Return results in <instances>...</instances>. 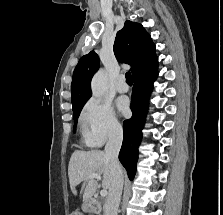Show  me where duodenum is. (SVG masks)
<instances>
[{"mask_svg": "<svg viewBox=\"0 0 223 215\" xmlns=\"http://www.w3.org/2000/svg\"><path fill=\"white\" fill-rule=\"evenodd\" d=\"M83 209L86 212L91 213L93 215H99V212H100V208L98 204L93 198H90V197L86 198L85 203L83 205Z\"/></svg>", "mask_w": 223, "mask_h": 215, "instance_id": "1", "label": "duodenum"}]
</instances>
